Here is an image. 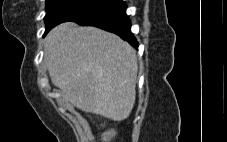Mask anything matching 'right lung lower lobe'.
<instances>
[{"mask_svg": "<svg viewBox=\"0 0 227 142\" xmlns=\"http://www.w3.org/2000/svg\"><path fill=\"white\" fill-rule=\"evenodd\" d=\"M69 21L113 32L128 41L135 48L138 47V43L130 31L131 23L126 15V3L122 0H114L102 9L92 11Z\"/></svg>", "mask_w": 227, "mask_h": 142, "instance_id": "98d812e1", "label": "right lung lower lobe"}]
</instances>
